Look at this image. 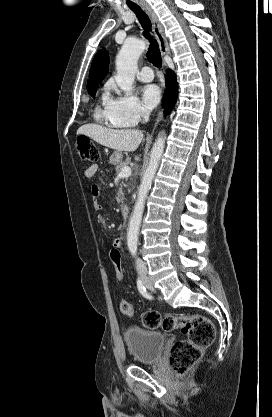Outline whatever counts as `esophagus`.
<instances>
[{
  "mask_svg": "<svg viewBox=\"0 0 272 417\" xmlns=\"http://www.w3.org/2000/svg\"><path fill=\"white\" fill-rule=\"evenodd\" d=\"M142 7H143V9L145 10V12L147 13V15L149 16V18L152 22V28H153L154 35H155V37H156V39L159 43L161 55L163 56V58L165 60V57L167 55H169L170 50H169V45H168L167 38L164 34L163 27H162L157 15L155 14V12L152 10V8L148 4L143 3ZM162 115H163V110L161 109L157 114V117H156V120H155V125L162 118Z\"/></svg>",
  "mask_w": 272,
  "mask_h": 417,
  "instance_id": "obj_1",
  "label": "esophagus"
}]
</instances>
